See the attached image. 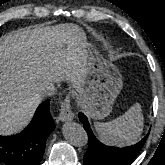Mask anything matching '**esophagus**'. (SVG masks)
<instances>
[{
	"label": "esophagus",
	"instance_id": "obj_1",
	"mask_svg": "<svg viewBox=\"0 0 165 165\" xmlns=\"http://www.w3.org/2000/svg\"><path fill=\"white\" fill-rule=\"evenodd\" d=\"M74 118V113L71 110L70 97H66L61 104L58 119L62 122L71 121Z\"/></svg>",
	"mask_w": 165,
	"mask_h": 165
}]
</instances>
